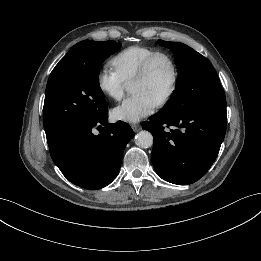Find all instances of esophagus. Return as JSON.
Segmentation results:
<instances>
[{
    "mask_svg": "<svg viewBox=\"0 0 261 261\" xmlns=\"http://www.w3.org/2000/svg\"><path fill=\"white\" fill-rule=\"evenodd\" d=\"M131 127H132L134 132H138L142 129V126L139 125V124H132Z\"/></svg>",
    "mask_w": 261,
    "mask_h": 261,
    "instance_id": "esophagus-1",
    "label": "esophagus"
}]
</instances>
